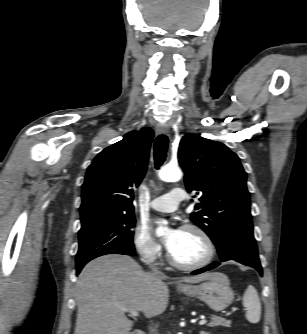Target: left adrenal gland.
Returning a JSON list of instances; mask_svg holds the SVG:
<instances>
[{"mask_svg":"<svg viewBox=\"0 0 307 334\" xmlns=\"http://www.w3.org/2000/svg\"><path fill=\"white\" fill-rule=\"evenodd\" d=\"M200 334H209V333H207L205 331H201Z\"/></svg>","mask_w":307,"mask_h":334,"instance_id":"a2214340","label":"left adrenal gland"}]
</instances>
